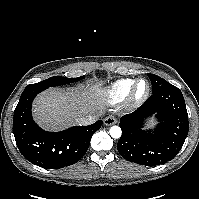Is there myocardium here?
Wrapping results in <instances>:
<instances>
[{"label":"myocardium","mask_w":199,"mask_h":199,"mask_svg":"<svg viewBox=\"0 0 199 199\" xmlns=\"http://www.w3.org/2000/svg\"><path fill=\"white\" fill-rule=\"evenodd\" d=\"M140 82H145L147 84V89L142 95L138 96L137 95V87ZM150 92H151L150 82L145 78H138L137 80L134 81V83L130 89V92L126 98L127 105L132 108H137V107L141 106L149 98Z\"/></svg>","instance_id":"obj_1"}]
</instances>
